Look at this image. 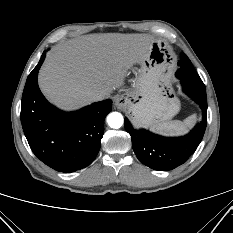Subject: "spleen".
Wrapping results in <instances>:
<instances>
[{
	"label": "spleen",
	"instance_id": "3e777b00",
	"mask_svg": "<svg viewBox=\"0 0 233 233\" xmlns=\"http://www.w3.org/2000/svg\"><path fill=\"white\" fill-rule=\"evenodd\" d=\"M196 119V114H193L183 121L174 120L153 125L151 130L162 135L179 136L187 133V131L195 124Z\"/></svg>",
	"mask_w": 233,
	"mask_h": 233
}]
</instances>
